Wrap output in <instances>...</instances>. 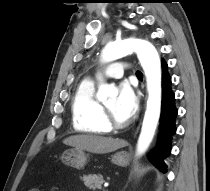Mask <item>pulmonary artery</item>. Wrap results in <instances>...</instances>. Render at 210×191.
Listing matches in <instances>:
<instances>
[{
	"mask_svg": "<svg viewBox=\"0 0 210 191\" xmlns=\"http://www.w3.org/2000/svg\"><path fill=\"white\" fill-rule=\"evenodd\" d=\"M127 68V64L124 62H116L107 69L106 76L109 78H121L124 74V69Z\"/></svg>",
	"mask_w": 210,
	"mask_h": 191,
	"instance_id": "1",
	"label": "pulmonary artery"
}]
</instances>
